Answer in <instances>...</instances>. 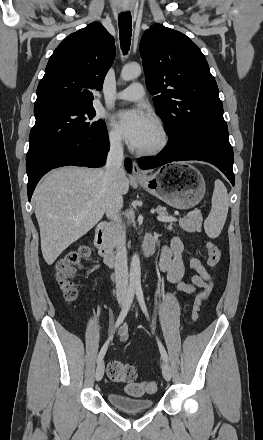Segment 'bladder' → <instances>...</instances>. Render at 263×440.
Masks as SVG:
<instances>
[{
  "mask_svg": "<svg viewBox=\"0 0 263 440\" xmlns=\"http://www.w3.org/2000/svg\"><path fill=\"white\" fill-rule=\"evenodd\" d=\"M107 399L115 408L125 412L149 410L154 404L151 397H131L116 391L109 392Z\"/></svg>",
  "mask_w": 263,
  "mask_h": 440,
  "instance_id": "obj_1",
  "label": "bladder"
}]
</instances>
